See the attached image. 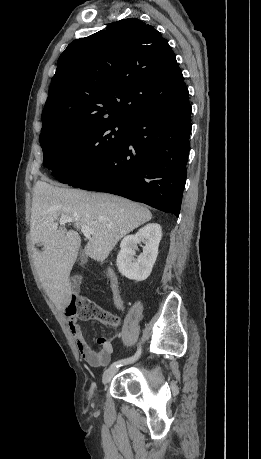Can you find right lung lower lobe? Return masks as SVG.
I'll return each instance as SVG.
<instances>
[{"instance_id": "98d812e1", "label": "right lung lower lobe", "mask_w": 261, "mask_h": 459, "mask_svg": "<svg viewBox=\"0 0 261 459\" xmlns=\"http://www.w3.org/2000/svg\"><path fill=\"white\" fill-rule=\"evenodd\" d=\"M188 89L131 121L121 148L69 185L107 192L179 216L191 133Z\"/></svg>"}]
</instances>
